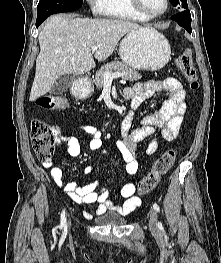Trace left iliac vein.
Masks as SVG:
<instances>
[{
	"mask_svg": "<svg viewBox=\"0 0 221 263\" xmlns=\"http://www.w3.org/2000/svg\"><path fill=\"white\" fill-rule=\"evenodd\" d=\"M149 228L152 233H157L159 231L157 214L153 209L149 210Z\"/></svg>",
	"mask_w": 221,
	"mask_h": 263,
	"instance_id": "left-iliac-vein-1",
	"label": "left iliac vein"
}]
</instances>
